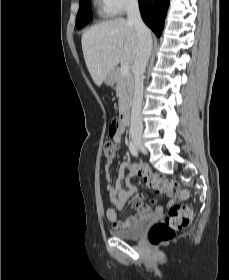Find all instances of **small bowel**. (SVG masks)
Returning a JSON list of instances; mask_svg holds the SVG:
<instances>
[{"instance_id":"c3829d8e","label":"small bowel","mask_w":229,"mask_h":280,"mask_svg":"<svg viewBox=\"0 0 229 280\" xmlns=\"http://www.w3.org/2000/svg\"><path fill=\"white\" fill-rule=\"evenodd\" d=\"M124 130L121 128L112 135L114 142L120 143ZM128 173L126 186H123L125 180V174ZM151 176L147 168L140 164L132 163L130 161L121 162L116 169L115 184H108L107 191L110 196L113 208L107 210V217L112 223V228L114 230L125 229L133 226L137 221L149 218L153 215L161 216L164 213V208L162 206H157L154 211L151 210L145 203L136 200L131 205V210L137 215L128 217L125 220H119L116 215V210H121L124 208L127 201L136 193V187L131 183L136 177H141L145 180L149 179ZM168 191L164 188L157 189L156 194H166Z\"/></svg>"}]
</instances>
